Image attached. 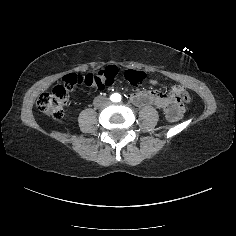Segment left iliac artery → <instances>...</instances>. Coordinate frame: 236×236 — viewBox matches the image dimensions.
I'll return each instance as SVG.
<instances>
[{
	"label": "left iliac artery",
	"mask_w": 236,
	"mask_h": 236,
	"mask_svg": "<svg viewBox=\"0 0 236 236\" xmlns=\"http://www.w3.org/2000/svg\"><path fill=\"white\" fill-rule=\"evenodd\" d=\"M120 101H121V95L117 94V102H120Z\"/></svg>",
	"instance_id": "44dca946"
}]
</instances>
